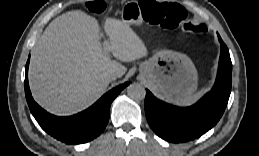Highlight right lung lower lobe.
<instances>
[{
    "mask_svg": "<svg viewBox=\"0 0 259 156\" xmlns=\"http://www.w3.org/2000/svg\"><path fill=\"white\" fill-rule=\"evenodd\" d=\"M26 64L25 95L30 111L43 130L67 144H81L93 140L105 129L110 115V105L129 84L126 82L103 95L90 108L73 116L58 117L43 110L32 98Z\"/></svg>",
    "mask_w": 259,
    "mask_h": 156,
    "instance_id": "right-lung-lower-lobe-1",
    "label": "right lung lower lobe"
}]
</instances>
